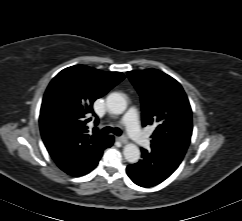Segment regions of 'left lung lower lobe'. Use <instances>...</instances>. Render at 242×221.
Listing matches in <instances>:
<instances>
[{
    "mask_svg": "<svg viewBox=\"0 0 242 221\" xmlns=\"http://www.w3.org/2000/svg\"><path fill=\"white\" fill-rule=\"evenodd\" d=\"M142 159L127 166L130 179L141 187L155 186L167 179L179 166L181 161L167 153L151 148L150 151L141 149Z\"/></svg>",
    "mask_w": 242,
    "mask_h": 221,
    "instance_id": "obj_1",
    "label": "left lung lower lobe"
}]
</instances>
